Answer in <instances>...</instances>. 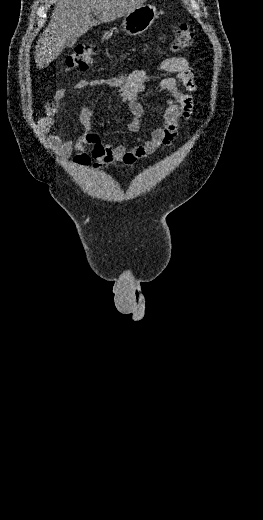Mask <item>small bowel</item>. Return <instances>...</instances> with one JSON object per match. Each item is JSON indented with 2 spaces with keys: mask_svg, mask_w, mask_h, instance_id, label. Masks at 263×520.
I'll return each instance as SVG.
<instances>
[{
  "mask_svg": "<svg viewBox=\"0 0 263 520\" xmlns=\"http://www.w3.org/2000/svg\"><path fill=\"white\" fill-rule=\"evenodd\" d=\"M159 74H174L159 79L157 87L167 93L164 98L166 105L163 114V124L151 132L148 139L139 142L133 147L120 144L117 146L105 145L97 134L89 129L94 110L83 108L80 114V123L83 131L77 139H65L59 133L52 132L55 126V116L63 100L67 96L66 88H58L53 97L45 105V114L38 121L42 133L48 138L54 149L63 157H70L74 152L72 163L84 168L91 165L101 169L107 164L121 162L131 165L145 160L163 146L169 145L177 136L181 122L190 118L195 101L193 93L197 90L195 75L188 61L183 57H169L163 60L156 68ZM150 75L146 70L134 69L119 76L107 79H81L73 88L82 90L87 87L108 86L118 91L121 99L128 103L131 119L127 128L131 133L140 130L145 114L140 97L149 91Z\"/></svg>",
  "mask_w": 263,
  "mask_h": 520,
  "instance_id": "1",
  "label": "small bowel"
}]
</instances>
